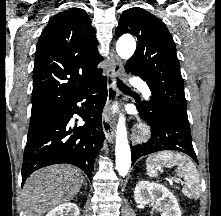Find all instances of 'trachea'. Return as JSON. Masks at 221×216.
I'll list each match as a JSON object with an SVG mask.
<instances>
[{
	"instance_id": "trachea-1",
	"label": "trachea",
	"mask_w": 221,
	"mask_h": 216,
	"mask_svg": "<svg viewBox=\"0 0 221 216\" xmlns=\"http://www.w3.org/2000/svg\"><path fill=\"white\" fill-rule=\"evenodd\" d=\"M117 85L121 90H123L125 92H130L129 88L125 84H123L122 81L117 80Z\"/></svg>"
}]
</instances>
